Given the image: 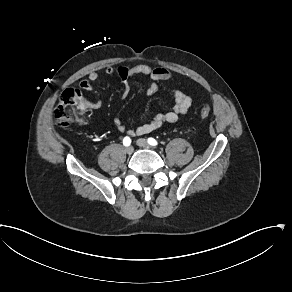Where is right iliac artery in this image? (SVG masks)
Here are the masks:
<instances>
[{
  "label": "right iliac artery",
  "instance_id": "obj_1",
  "mask_svg": "<svg viewBox=\"0 0 292 292\" xmlns=\"http://www.w3.org/2000/svg\"><path fill=\"white\" fill-rule=\"evenodd\" d=\"M123 144L124 146H129L131 144V139L130 137L126 136L124 139H123Z\"/></svg>",
  "mask_w": 292,
  "mask_h": 292
}]
</instances>
